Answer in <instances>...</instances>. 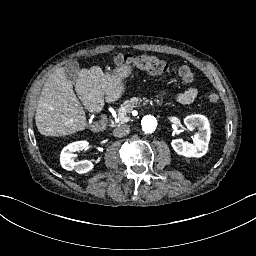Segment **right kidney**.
Returning a JSON list of instances; mask_svg holds the SVG:
<instances>
[{"instance_id":"1","label":"right kidney","mask_w":256,"mask_h":256,"mask_svg":"<svg viewBox=\"0 0 256 256\" xmlns=\"http://www.w3.org/2000/svg\"><path fill=\"white\" fill-rule=\"evenodd\" d=\"M89 143L86 140L76 141L68 144L63 148L60 154V163L61 166L68 171H76L79 174L87 173L93 169V163L89 160H81L78 162L74 161L76 155L74 152L87 150Z\"/></svg>"}]
</instances>
